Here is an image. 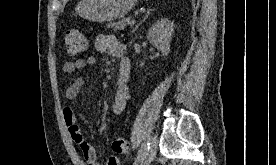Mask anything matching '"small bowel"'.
<instances>
[{
	"instance_id": "1",
	"label": "small bowel",
	"mask_w": 276,
	"mask_h": 165,
	"mask_svg": "<svg viewBox=\"0 0 276 165\" xmlns=\"http://www.w3.org/2000/svg\"><path fill=\"white\" fill-rule=\"evenodd\" d=\"M95 47L99 52L108 53L118 61L119 75L115 87V97L112 105V112L116 115L120 114L127 101L130 98V90L128 85L129 75L131 71L130 60L126 55V46L121 43L114 35L102 33L95 39ZM97 65V59L94 56L76 59L75 61H66L62 65L64 74H72L75 71H82L93 68ZM83 79L77 78L65 92L67 99H74L83 86ZM63 118L72 140L80 148L87 165H101L97 161L94 148L83 137L77 124L76 116L70 107L63 109ZM106 165H119V159L116 156H110Z\"/></svg>"
}]
</instances>
